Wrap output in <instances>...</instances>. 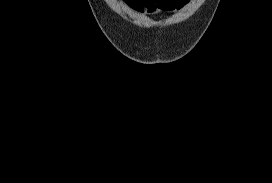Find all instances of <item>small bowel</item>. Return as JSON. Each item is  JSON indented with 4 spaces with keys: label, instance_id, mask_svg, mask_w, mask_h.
I'll return each mask as SVG.
<instances>
[{
    "label": "small bowel",
    "instance_id": "small-bowel-1",
    "mask_svg": "<svg viewBox=\"0 0 272 183\" xmlns=\"http://www.w3.org/2000/svg\"><path fill=\"white\" fill-rule=\"evenodd\" d=\"M132 9L143 12L157 10L170 11L186 4L188 0H123Z\"/></svg>",
    "mask_w": 272,
    "mask_h": 183
}]
</instances>
